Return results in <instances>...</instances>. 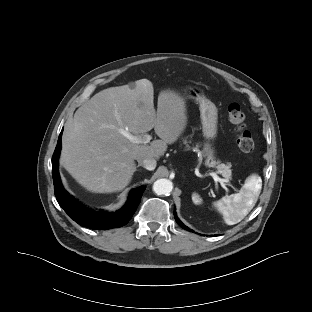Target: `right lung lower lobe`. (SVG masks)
<instances>
[{
    "label": "right lung lower lobe",
    "instance_id": "obj_1",
    "mask_svg": "<svg viewBox=\"0 0 312 312\" xmlns=\"http://www.w3.org/2000/svg\"><path fill=\"white\" fill-rule=\"evenodd\" d=\"M62 131L59 135L58 143L52 157L54 190L59 205L64 209V211L71 219L86 228L94 230L112 229L116 227H122L127 224L140 203L145 187L141 186L133 189L129 195L126 205L115 213L99 214L86 208L72 195H70L61 184L58 164L61 150Z\"/></svg>",
    "mask_w": 312,
    "mask_h": 312
}]
</instances>
